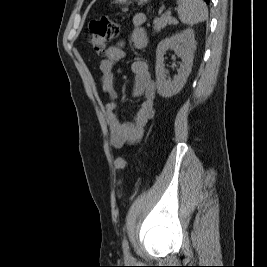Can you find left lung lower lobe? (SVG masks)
Returning <instances> with one entry per match:
<instances>
[{"mask_svg": "<svg viewBox=\"0 0 267 267\" xmlns=\"http://www.w3.org/2000/svg\"><path fill=\"white\" fill-rule=\"evenodd\" d=\"M205 2L208 4L210 2V0H205Z\"/></svg>", "mask_w": 267, "mask_h": 267, "instance_id": "1", "label": "left lung lower lobe"}]
</instances>
